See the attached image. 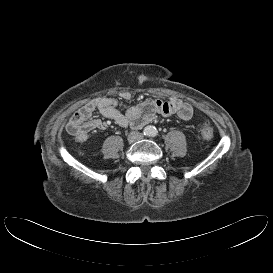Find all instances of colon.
<instances>
[{"label":"colon","mask_w":273,"mask_h":273,"mask_svg":"<svg viewBox=\"0 0 273 273\" xmlns=\"http://www.w3.org/2000/svg\"><path fill=\"white\" fill-rule=\"evenodd\" d=\"M201 134L206 139H212L214 136V129L209 123H204L201 127Z\"/></svg>","instance_id":"colon-1"}]
</instances>
